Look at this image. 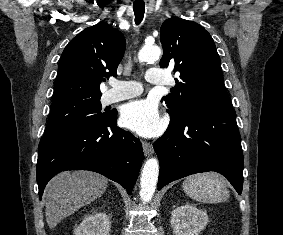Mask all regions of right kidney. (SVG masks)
<instances>
[{"instance_id":"ca27d5eb","label":"right kidney","mask_w":283,"mask_h":235,"mask_svg":"<svg viewBox=\"0 0 283 235\" xmlns=\"http://www.w3.org/2000/svg\"><path fill=\"white\" fill-rule=\"evenodd\" d=\"M110 219L104 212L85 216L75 229L74 235H109Z\"/></svg>"}]
</instances>
